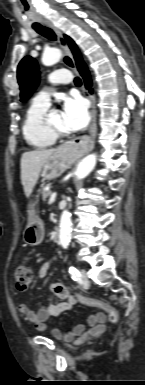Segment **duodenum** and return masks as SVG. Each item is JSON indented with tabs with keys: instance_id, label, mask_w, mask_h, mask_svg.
Listing matches in <instances>:
<instances>
[{
	"instance_id": "1",
	"label": "duodenum",
	"mask_w": 145,
	"mask_h": 385,
	"mask_svg": "<svg viewBox=\"0 0 145 385\" xmlns=\"http://www.w3.org/2000/svg\"><path fill=\"white\" fill-rule=\"evenodd\" d=\"M53 240H54V242H58L59 241V229L58 228H55L53 230Z\"/></svg>"
}]
</instances>
